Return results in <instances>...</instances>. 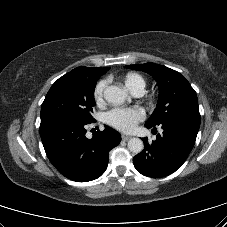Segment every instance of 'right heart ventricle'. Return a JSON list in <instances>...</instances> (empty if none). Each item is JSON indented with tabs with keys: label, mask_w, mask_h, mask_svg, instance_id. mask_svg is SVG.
Here are the masks:
<instances>
[{
	"label": "right heart ventricle",
	"mask_w": 227,
	"mask_h": 227,
	"mask_svg": "<svg viewBox=\"0 0 227 227\" xmlns=\"http://www.w3.org/2000/svg\"><path fill=\"white\" fill-rule=\"evenodd\" d=\"M124 82L127 88L132 92L137 89H144L146 85L144 78L140 74L134 72L127 73L124 77Z\"/></svg>",
	"instance_id": "e07e8e85"
}]
</instances>
